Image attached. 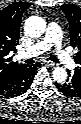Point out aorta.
Wrapping results in <instances>:
<instances>
[{
  "instance_id": "obj_1",
  "label": "aorta",
  "mask_w": 81,
  "mask_h": 124,
  "mask_svg": "<svg viewBox=\"0 0 81 124\" xmlns=\"http://www.w3.org/2000/svg\"><path fill=\"white\" fill-rule=\"evenodd\" d=\"M45 28L46 22L41 17L32 16L25 21L24 30L30 37H40L45 32ZM52 77L56 82L62 83L67 78V72L64 68L57 67L54 69Z\"/></svg>"
}]
</instances>
